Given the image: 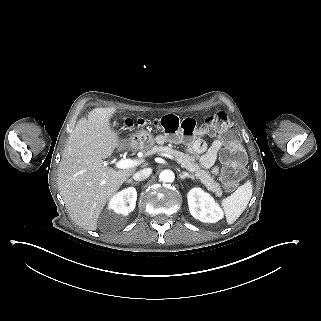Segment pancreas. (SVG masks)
Here are the masks:
<instances>
[{
	"label": "pancreas",
	"instance_id": "1",
	"mask_svg": "<svg viewBox=\"0 0 321 321\" xmlns=\"http://www.w3.org/2000/svg\"><path fill=\"white\" fill-rule=\"evenodd\" d=\"M137 149H134L136 151ZM156 153L168 154L174 156L182 168H185L189 172L193 173L202 184L205 185L209 192H213L216 197H221L222 189L219 183L215 182V176L212 175L209 170H204L203 166L195 162L193 156L184 154L183 152L173 150L167 146H154L150 150L144 151L145 156H151Z\"/></svg>",
	"mask_w": 321,
	"mask_h": 321
}]
</instances>
